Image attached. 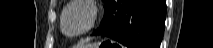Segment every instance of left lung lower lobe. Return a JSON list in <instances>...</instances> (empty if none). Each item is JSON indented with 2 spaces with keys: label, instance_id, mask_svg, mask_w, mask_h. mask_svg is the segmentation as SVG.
Here are the masks:
<instances>
[{
  "label": "left lung lower lobe",
  "instance_id": "1",
  "mask_svg": "<svg viewBox=\"0 0 213 48\" xmlns=\"http://www.w3.org/2000/svg\"><path fill=\"white\" fill-rule=\"evenodd\" d=\"M165 0H110L94 35L113 38L128 48H159Z\"/></svg>",
  "mask_w": 213,
  "mask_h": 48
}]
</instances>
